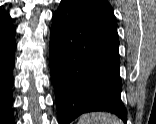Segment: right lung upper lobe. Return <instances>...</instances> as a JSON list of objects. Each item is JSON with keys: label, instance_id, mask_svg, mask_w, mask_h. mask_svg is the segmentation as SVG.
<instances>
[{"label": "right lung upper lobe", "instance_id": "right-lung-upper-lobe-1", "mask_svg": "<svg viewBox=\"0 0 156 124\" xmlns=\"http://www.w3.org/2000/svg\"><path fill=\"white\" fill-rule=\"evenodd\" d=\"M0 26L3 27L11 26L10 16L2 9H0Z\"/></svg>", "mask_w": 156, "mask_h": 124}]
</instances>
